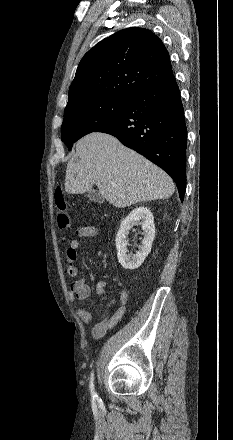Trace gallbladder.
I'll return each instance as SVG.
<instances>
[{"label": "gallbladder", "mask_w": 233, "mask_h": 440, "mask_svg": "<svg viewBox=\"0 0 233 440\" xmlns=\"http://www.w3.org/2000/svg\"><path fill=\"white\" fill-rule=\"evenodd\" d=\"M87 197L96 203H102L104 201V197L97 191L94 189H91L87 192Z\"/></svg>", "instance_id": "bac80fb5"}]
</instances>
